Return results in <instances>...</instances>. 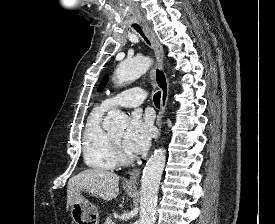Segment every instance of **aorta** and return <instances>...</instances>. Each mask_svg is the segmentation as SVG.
<instances>
[{
  "label": "aorta",
  "mask_w": 275,
  "mask_h": 224,
  "mask_svg": "<svg viewBox=\"0 0 275 224\" xmlns=\"http://www.w3.org/2000/svg\"><path fill=\"white\" fill-rule=\"evenodd\" d=\"M153 63V59L138 56L120 62L115 71V80L118 85L134 81L145 73ZM128 117L120 110H112L106 117L103 127L106 130L125 129ZM166 152L157 149L148 159L143 170L140 189V219L138 224H154L158 189L165 167Z\"/></svg>",
  "instance_id": "1"
}]
</instances>
